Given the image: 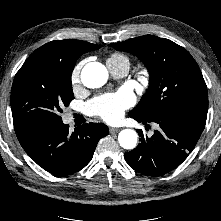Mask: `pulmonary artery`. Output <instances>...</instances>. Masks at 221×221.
<instances>
[{
  "instance_id": "1",
  "label": "pulmonary artery",
  "mask_w": 221,
  "mask_h": 221,
  "mask_svg": "<svg viewBox=\"0 0 221 221\" xmlns=\"http://www.w3.org/2000/svg\"><path fill=\"white\" fill-rule=\"evenodd\" d=\"M110 73L115 77H124L127 75L130 66L127 63L112 64L107 62Z\"/></svg>"
}]
</instances>
